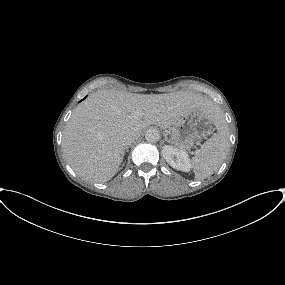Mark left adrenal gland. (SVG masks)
I'll list each match as a JSON object with an SVG mask.
<instances>
[{
    "instance_id": "left-adrenal-gland-1",
    "label": "left adrenal gland",
    "mask_w": 285,
    "mask_h": 285,
    "mask_svg": "<svg viewBox=\"0 0 285 285\" xmlns=\"http://www.w3.org/2000/svg\"><path fill=\"white\" fill-rule=\"evenodd\" d=\"M164 141H167V142H168V139H167V137H165Z\"/></svg>"
}]
</instances>
